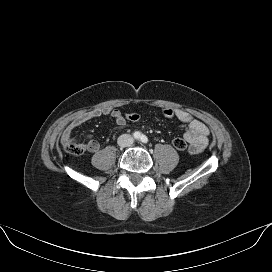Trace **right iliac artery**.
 Wrapping results in <instances>:
<instances>
[{"mask_svg":"<svg viewBox=\"0 0 272 272\" xmlns=\"http://www.w3.org/2000/svg\"><path fill=\"white\" fill-rule=\"evenodd\" d=\"M134 137H135L136 139L140 138V133H139V132H135V133H134Z\"/></svg>","mask_w":272,"mask_h":272,"instance_id":"82829eb1","label":"right iliac artery"}]
</instances>
